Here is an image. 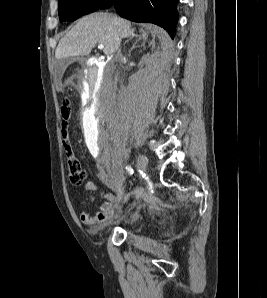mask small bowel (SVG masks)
Segmentation results:
<instances>
[{
    "label": "small bowel",
    "instance_id": "obj_1",
    "mask_svg": "<svg viewBox=\"0 0 267 298\" xmlns=\"http://www.w3.org/2000/svg\"><path fill=\"white\" fill-rule=\"evenodd\" d=\"M110 186L113 192H100V196L103 197L105 201L100 205L99 210L94 215H91L88 212H82L80 214V220L84 225L98 227L113 218L115 214V207L122 200L124 186L121 179L111 182ZM86 189L90 191H98L97 186L91 181L87 182Z\"/></svg>",
    "mask_w": 267,
    "mask_h": 298
}]
</instances>
